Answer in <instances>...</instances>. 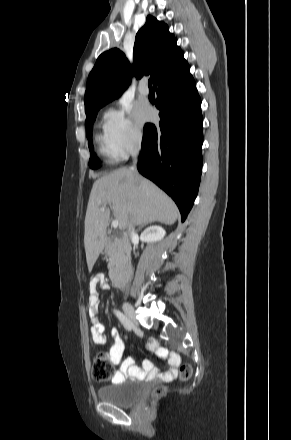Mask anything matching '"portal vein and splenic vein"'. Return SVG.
Returning a JSON list of instances; mask_svg holds the SVG:
<instances>
[{"instance_id": "obj_1", "label": "portal vein and splenic vein", "mask_w": 291, "mask_h": 440, "mask_svg": "<svg viewBox=\"0 0 291 440\" xmlns=\"http://www.w3.org/2000/svg\"><path fill=\"white\" fill-rule=\"evenodd\" d=\"M101 211H105V207H101ZM118 225H119L118 221H116V220L112 221L113 228L116 229L118 227Z\"/></svg>"}]
</instances>
